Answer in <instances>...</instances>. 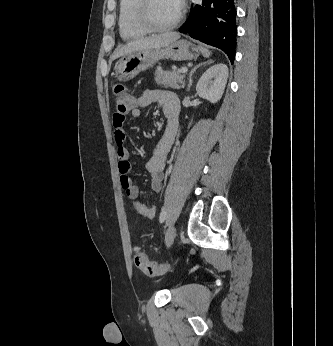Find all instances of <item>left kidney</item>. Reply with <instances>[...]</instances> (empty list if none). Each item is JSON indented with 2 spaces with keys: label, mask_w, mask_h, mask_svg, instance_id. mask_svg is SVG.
<instances>
[{
  "label": "left kidney",
  "mask_w": 333,
  "mask_h": 346,
  "mask_svg": "<svg viewBox=\"0 0 333 346\" xmlns=\"http://www.w3.org/2000/svg\"><path fill=\"white\" fill-rule=\"evenodd\" d=\"M227 78V65L218 63L211 66L200 77L196 85L197 94L211 103L218 102L224 93Z\"/></svg>",
  "instance_id": "obj_1"
}]
</instances>
